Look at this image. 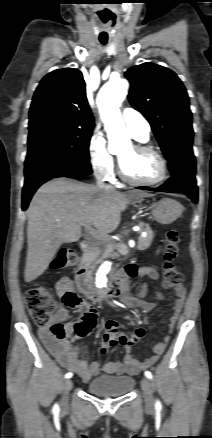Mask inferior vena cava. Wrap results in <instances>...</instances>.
<instances>
[{"label":"inferior vena cava","instance_id":"1","mask_svg":"<svg viewBox=\"0 0 212 438\" xmlns=\"http://www.w3.org/2000/svg\"><path fill=\"white\" fill-rule=\"evenodd\" d=\"M97 187L103 190H114L111 185L105 184L100 177L97 178Z\"/></svg>","mask_w":212,"mask_h":438}]
</instances>
